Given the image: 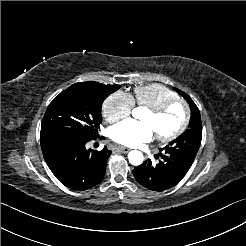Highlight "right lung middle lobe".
I'll return each instance as SVG.
<instances>
[{
  "mask_svg": "<svg viewBox=\"0 0 246 246\" xmlns=\"http://www.w3.org/2000/svg\"><path fill=\"white\" fill-rule=\"evenodd\" d=\"M120 85L79 82L61 92L48 106L40 138L58 136L92 140L102 121V103Z\"/></svg>",
  "mask_w": 246,
  "mask_h": 246,
  "instance_id": "1",
  "label": "right lung middle lobe"
}]
</instances>
